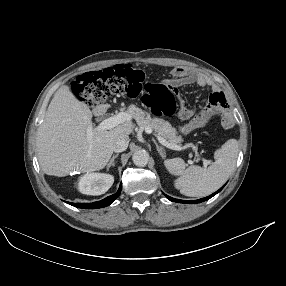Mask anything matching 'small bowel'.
I'll return each instance as SVG.
<instances>
[{"instance_id":"1","label":"small bowel","mask_w":286,"mask_h":286,"mask_svg":"<svg viewBox=\"0 0 286 286\" xmlns=\"http://www.w3.org/2000/svg\"><path fill=\"white\" fill-rule=\"evenodd\" d=\"M172 78L169 80V87L177 96L179 102L178 117L183 120L191 119L196 111L195 107H191L185 104L181 98L178 88L190 84H196L199 87H212V93L209 96L207 105L195 118L209 116L210 112L215 114H223L226 116L229 113V106L227 100L222 92L218 88L214 87L211 80L203 73L189 70L186 67L178 66L171 71Z\"/></svg>"}]
</instances>
